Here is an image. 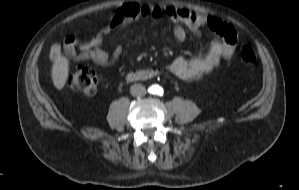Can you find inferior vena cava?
Instances as JSON below:
<instances>
[{
	"label": "inferior vena cava",
	"instance_id": "inferior-vena-cava-1",
	"mask_svg": "<svg viewBox=\"0 0 299 190\" xmlns=\"http://www.w3.org/2000/svg\"><path fill=\"white\" fill-rule=\"evenodd\" d=\"M130 92L133 96H143L146 94V89L141 84H134L131 86Z\"/></svg>",
	"mask_w": 299,
	"mask_h": 190
}]
</instances>
